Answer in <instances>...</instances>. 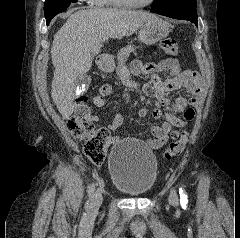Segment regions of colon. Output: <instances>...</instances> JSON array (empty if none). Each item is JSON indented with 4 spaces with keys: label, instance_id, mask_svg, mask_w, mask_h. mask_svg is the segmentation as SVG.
I'll list each match as a JSON object with an SVG mask.
<instances>
[{
    "label": "colon",
    "instance_id": "colon-1",
    "mask_svg": "<svg viewBox=\"0 0 240 238\" xmlns=\"http://www.w3.org/2000/svg\"><path fill=\"white\" fill-rule=\"evenodd\" d=\"M161 50L171 56H177L179 49L176 41L171 38L162 40L159 44ZM91 114L90 105L88 104L87 97H79L74 106L73 115L68 120V129L72 136L79 140H85L84 153L95 163L103 160L106 144H107V131L102 128L93 127L88 121L87 117ZM179 134L174 135V142L164 152V157L170 159L180 155L189 140L188 133L184 132L178 138Z\"/></svg>",
    "mask_w": 240,
    "mask_h": 238
}]
</instances>
